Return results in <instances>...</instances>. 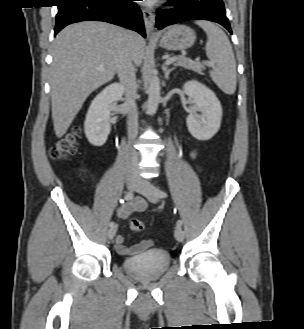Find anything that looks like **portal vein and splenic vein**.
<instances>
[{
	"label": "portal vein and splenic vein",
	"instance_id": "obj_1",
	"mask_svg": "<svg viewBox=\"0 0 304 329\" xmlns=\"http://www.w3.org/2000/svg\"><path fill=\"white\" fill-rule=\"evenodd\" d=\"M186 59V58H185ZM177 60V58H167L166 59V64H172ZM190 60V59H187Z\"/></svg>",
	"mask_w": 304,
	"mask_h": 329
}]
</instances>
